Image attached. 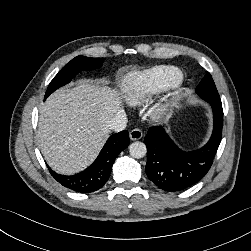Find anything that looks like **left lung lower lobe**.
Listing matches in <instances>:
<instances>
[{
	"mask_svg": "<svg viewBox=\"0 0 251 251\" xmlns=\"http://www.w3.org/2000/svg\"><path fill=\"white\" fill-rule=\"evenodd\" d=\"M213 132L203 147L181 150L163 127H150L145 136L147 146L146 174L160 189L176 192L187 189L209 171L222 137L223 109L220 101H212Z\"/></svg>",
	"mask_w": 251,
	"mask_h": 251,
	"instance_id": "obj_1",
	"label": "left lung lower lobe"
}]
</instances>
